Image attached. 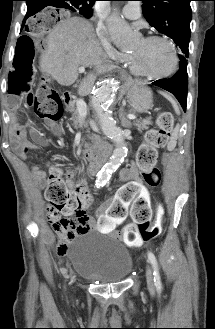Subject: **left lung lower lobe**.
I'll list each match as a JSON object with an SVG mask.
<instances>
[{
  "mask_svg": "<svg viewBox=\"0 0 215 329\" xmlns=\"http://www.w3.org/2000/svg\"><path fill=\"white\" fill-rule=\"evenodd\" d=\"M152 84L159 86L171 92L180 102L184 111H186L187 102V87H188V74H187V60H180L179 70L174 76L169 79H161L154 81Z\"/></svg>",
  "mask_w": 215,
  "mask_h": 329,
  "instance_id": "0a47b994",
  "label": "left lung lower lobe"
}]
</instances>
